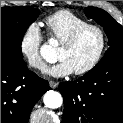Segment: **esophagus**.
Segmentation results:
<instances>
[{"label":"esophagus","instance_id":"esophagus-1","mask_svg":"<svg viewBox=\"0 0 123 123\" xmlns=\"http://www.w3.org/2000/svg\"><path fill=\"white\" fill-rule=\"evenodd\" d=\"M49 86H50L51 88H57L58 83L55 82V81H49Z\"/></svg>","mask_w":123,"mask_h":123}]
</instances>
